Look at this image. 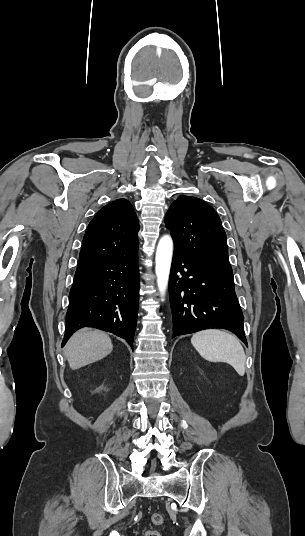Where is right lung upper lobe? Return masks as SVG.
Masks as SVG:
<instances>
[{"instance_id": "1", "label": "right lung upper lobe", "mask_w": 305, "mask_h": 536, "mask_svg": "<svg viewBox=\"0 0 305 536\" xmlns=\"http://www.w3.org/2000/svg\"><path fill=\"white\" fill-rule=\"evenodd\" d=\"M139 223L126 199L104 206L89 223L78 267L122 257L138 251Z\"/></svg>"}]
</instances>
